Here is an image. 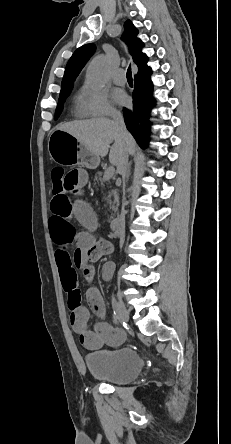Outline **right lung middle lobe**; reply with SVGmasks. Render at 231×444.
I'll list each match as a JSON object with an SVG mask.
<instances>
[{"mask_svg":"<svg viewBox=\"0 0 231 444\" xmlns=\"http://www.w3.org/2000/svg\"><path fill=\"white\" fill-rule=\"evenodd\" d=\"M70 92H71V89L67 90V91L60 92L59 101H58V104H57V108H56V112H55V117H54L55 120L59 117V115H60V113L62 111V108H63V103H64L65 99L68 97Z\"/></svg>","mask_w":231,"mask_h":444,"instance_id":"right-lung-middle-lobe-1","label":"right lung middle lobe"}]
</instances>
